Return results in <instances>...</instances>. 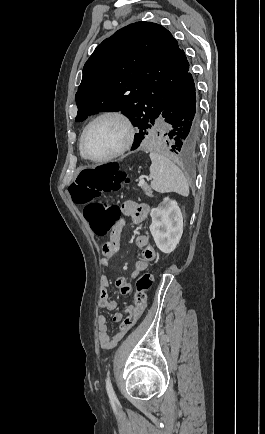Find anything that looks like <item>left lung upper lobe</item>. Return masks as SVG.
I'll return each mask as SVG.
<instances>
[{
	"mask_svg": "<svg viewBox=\"0 0 265 434\" xmlns=\"http://www.w3.org/2000/svg\"><path fill=\"white\" fill-rule=\"evenodd\" d=\"M188 70L184 51L167 29L130 24L98 45L85 63L75 121L121 111L140 130L150 128Z\"/></svg>",
	"mask_w": 265,
	"mask_h": 434,
	"instance_id": "left-lung-upper-lobe-1",
	"label": "left lung upper lobe"
}]
</instances>
